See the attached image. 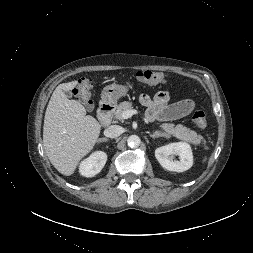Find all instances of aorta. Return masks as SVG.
Masks as SVG:
<instances>
[{"label": "aorta", "mask_w": 253, "mask_h": 253, "mask_svg": "<svg viewBox=\"0 0 253 253\" xmlns=\"http://www.w3.org/2000/svg\"><path fill=\"white\" fill-rule=\"evenodd\" d=\"M128 146L131 148L138 147L141 143V139L137 135H131L127 139Z\"/></svg>", "instance_id": "762f6f07"}]
</instances>
